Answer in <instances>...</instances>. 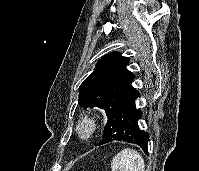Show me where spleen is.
<instances>
[{
	"instance_id": "1",
	"label": "spleen",
	"mask_w": 199,
	"mask_h": 171,
	"mask_svg": "<svg viewBox=\"0 0 199 171\" xmlns=\"http://www.w3.org/2000/svg\"><path fill=\"white\" fill-rule=\"evenodd\" d=\"M112 171H145V163L136 150L126 148L111 161Z\"/></svg>"
}]
</instances>
